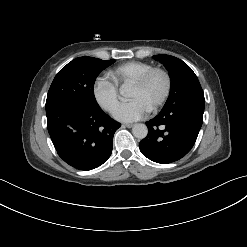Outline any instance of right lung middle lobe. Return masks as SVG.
I'll use <instances>...</instances> for the list:
<instances>
[{"label": "right lung middle lobe", "mask_w": 247, "mask_h": 247, "mask_svg": "<svg viewBox=\"0 0 247 247\" xmlns=\"http://www.w3.org/2000/svg\"><path fill=\"white\" fill-rule=\"evenodd\" d=\"M115 60L79 57L64 66L54 78L46 100V111L63 104L99 109L94 96L97 76Z\"/></svg>", "instance_id": "dd1d6c3e"}]
</instances>
